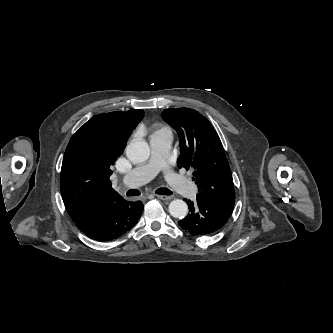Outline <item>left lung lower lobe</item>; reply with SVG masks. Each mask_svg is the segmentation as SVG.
<instances>
[{
	"label": "left lung lower lobe",
	"instance_id": "left-lung-lower-lobe-1",
	"mask_svg": "<svg viewBox=\"0 0 333 333\" xmlns=\"http://www.w3.org/2000/svg\"><path fill=\"white\" fill-rule=\"evenodd\" d=\"M190 214L178 224L192 236H202L220 229L232 214L234 205L220 204L197 194V200H186Z\"/></svg>",
	"mask_w": 333,
	"mask_h": 333
}]
</instances>
